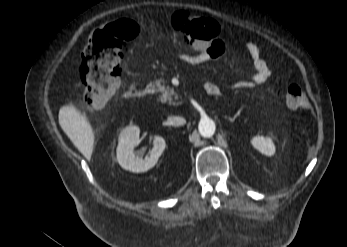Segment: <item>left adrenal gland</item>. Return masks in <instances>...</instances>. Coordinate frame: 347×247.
I'll return each instance as SVG.
<instances>
[{"label": "left adrenal gland", "mask_w": 347, "mask_h": 247, "mask_svg": "<svg viewBox=\"0 0 347 247\" xmlns=\"http://www.w3.org/2000/svg\"><path fill=\"white\" fill-rule=\"evenodd\" d=\"M240 113L238 112V113H236L235 115H234V117L233 118H231V117H229L228 118V120L230 121V122H234L235 121V119L238 117V115H239Z\"/></svg>", "instance_id": "a2214340"}]
</instances>
